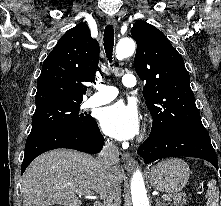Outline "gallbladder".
Returning <instances> with one entry per match:
<instances>
[{
    "mask_svg": "<svg viewBox=\"0 0 221 206\" xmlns=\"http://www.w3.org/2000/svg\"><path fill=\"white\" fill-rule=\"evenodd\" d=\"M72 201H73V202H80V201H81V198H80V197H73V198H72Z\"/></svg>",
    "mask_w": 221,
    "mask_h": 206,
    "instance_id": "gallbladder-1",
    "label": "gallbladder"
}]
</instances>
